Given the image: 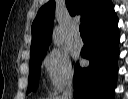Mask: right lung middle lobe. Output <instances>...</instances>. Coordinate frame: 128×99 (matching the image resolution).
I'll use <instances>...</instances> for the list:
<instances>
[{
	"label": "right lung middle lobe",
	"mask_w": 128,
	"mask_h": 99,
	"mask_svg": "<svg viewBox=\"0 0 128 99\" xmlns=\"http://www.w3.org/2000/svg\"><path fill=\"white\" fill-rule=\"evenodd\" d=\"M44 56L45 53L30 58L29 84L27 93H29L31 90L34 91L38 86L41 64Z\"/></svg>",
	"instance_id": "obj_1"
}]
</instances>
